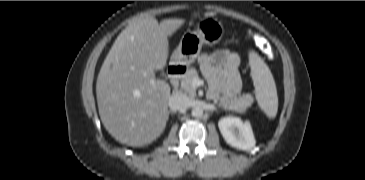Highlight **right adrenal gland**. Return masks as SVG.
I'll use <instances>...</instances> for the list:
<instances>
[{
  "mask_svg": "<svg viewBox=\"0 0 365 180\" xmlns=\"http://www.w3.org/2000/svg\"><path fill=\"white\" fill-rule=\"evenodd\" d=\"M169 113H173V111H169Z\"/></svg>",
  "mask_w": 365,
  "mask_h": 180,
  "instance_id": "1",
  "label": "right adrenal gland"
}]
</instances>
